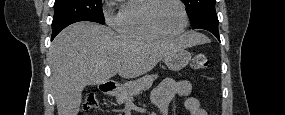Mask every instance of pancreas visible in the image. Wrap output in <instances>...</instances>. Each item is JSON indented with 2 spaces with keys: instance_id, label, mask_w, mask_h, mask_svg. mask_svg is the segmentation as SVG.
Segmentation results:
<instances>
[{
  "instance_id": "1",
  "label": "pancreas",
  "mask_w": 285,
  "mask_h": 115,
  "mask_svg": "<svg viewBox=\"0 0 285 115\" xmlns=\"http://www.w3.org/2000/svg\"><path fill=\"white\" fill-rule=\"evenodd\" d=\"M158 78V75H145L137 80L129 81L123 84L117 94L116 101L118 104L125 103L132 96L140 94L142 91L149 89L153 81Z\"/></svg>"
}]
</instances>
